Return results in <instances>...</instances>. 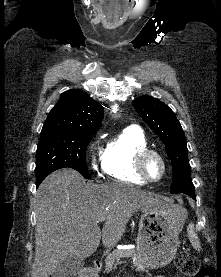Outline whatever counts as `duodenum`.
I'll list each match as a JSON object with an SVG mask.
<instances>
[{
    "label": "duodenum",
    "instance_id": "duodenum-1",
    "mask_svg": "<svg viewBox=\"0 0 221 277\" xmlns=\"http://www.w3.org/2000/svg\"><path fill=\"white\" fill-rule=\"evenodd\" d=\"M100 268H101V262L96 261L94 266L90 270L83 273L82 277H93Z\"/></svg>",
    "mask_w": 221,
    "mask_h": 277
}]
</instances>
